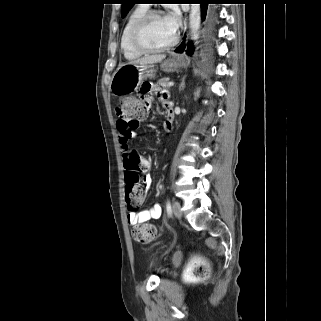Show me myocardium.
Listing matches in <instances>:
<instances>
[{
	"label": "myocardium",
	"instance_id": "myocardium-1",
	"mask_svg": "<svg viewBox=\"0 0 321 321\" xmlns=\"http://www.w3.org/2000/svg\"><path fill=\"white\" fill-rule=\"evenodd\" d=\"M162 16V12L158 10H150L145 12L134 24L131 34L130 42L134 49L141 53H160L172 49L179 40V35L175 31L173 39L166 45L161 47H149L142 41V31L146 23L153 17Z\"/></svg>",
	"mask_w": 321,
	"mask_h": 321
}]
</instances>
